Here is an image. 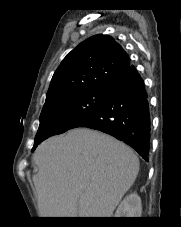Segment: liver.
<instances>
[{
    "label": "liver",
    "mask_w": 181,
    "mask_h": 227,
    "mask_svg": "<svg viewBox=\"0 0 181 227\" xmlns=\"http://www.w3.org/2000/svg\"><path fill=\"white\" fill-rule=\"evenodd\" d=\"M33 160L41 217H111L139 172L129 146L88 128L48 138Z\"/></svg>",
    "instance_id": "6515ba94"
}]
</instances>
